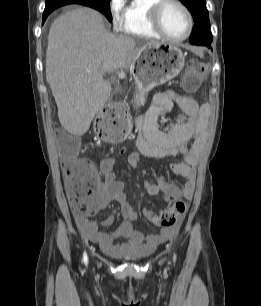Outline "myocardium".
Masks as SVG:
<instances>
[{"label":"myocardium","mask_w":261,"mask_h":306,"mask_svg":"<svg viewBox=\"0 0 261 306\" xmlns=\"http://www.w3.org/2000/svg\"><path fill=\"white\" fill-rule=\"evenodd\" d=\"M168 4H174L178 6L184 12L187 18V24H188L187 32L184 36L180 38H174L168 35L166 31L164 30V28L162 27L161 20H160L161 12L164 9V7L167 6ZM149 19H150V24L152 25L153 29L161 37L173 43H180V42L185 41L187 38H189L193 30V18H192L191 12L188 9V7L180 0H157V2L154 3L149 10Z\"/></svg>","instance_id":"f54148a6"}]
</instances>
